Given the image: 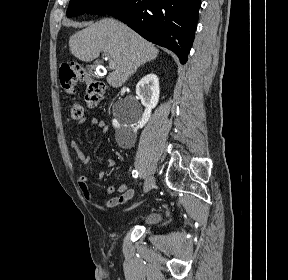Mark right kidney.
Masks as SVG:
<instances>
[{
	"label": "right kidney",
	"mask_w": 288,
	"mask_h": 280,
	"mask_svg": "<svg viewBox=\"0 0 288 280\" xmlns=\"http://www.w3.org/2000/svg\"><path fill=\"white\" fill-rule=\"evenodd\" d=\"M136 94L145 107V111L135 129L121 128L120 124L116 120H113V125L118 128V134L116 136L118 142L121 141L122 136L135 138L137 129L142 128L148 122L152 109L156 107L159 101L160 89L157 75L151 73L143 77L136 85Z\"/></svg>",
	"instance_id": "right-kidney-1"
}]
</instances>
